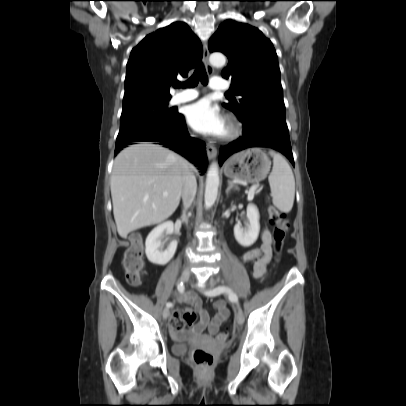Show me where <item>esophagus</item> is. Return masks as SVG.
<instances>
[{
	"instance_id": "obj_1",
	"label": "esophagus",
	"mask_w": 406,
	"mask_h": 406,
	"mask_svg": "<svg viewBox=\"0 0 406 406\" xmlns=\"http://www.w3.org/2000/svg\"><path fill=\"white\" fill-rule=\"evenodd\" d=\"M203 63L206 67L207 73L209 75H212L214 69L211 66V64L209 63V50H208V45L206 42L204 43V48H203ZM206 150H207V157L209 160H213L217 156V149L214 145L207 144Z\"/></svg>"
}]
</instances>
